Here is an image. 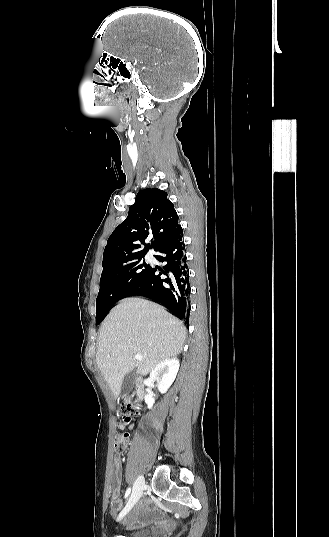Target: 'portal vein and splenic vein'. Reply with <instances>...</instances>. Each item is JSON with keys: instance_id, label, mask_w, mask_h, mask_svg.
Wrapping results in <instances>:
<instances>
[{"instance_id": "portal-vein-and-splenic-vein-1", "label": "portal vein and splenic vein", "mask_w": 329, "mask_h": 537, "mask_svg": "<svg viewBox=\"0 0 329 537\" xmlns=\"http://www.w3.org/2000/svg\"><path fill=\"white\" fill-rule=\"evenodd\" d=\"M134 357H135V359H136L137 361H142V360H143V358H142L141 355H135Z\"/></svg>"}]
</instances>
